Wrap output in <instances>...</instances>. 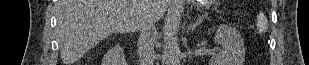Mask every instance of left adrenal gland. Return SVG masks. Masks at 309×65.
<instances>
[{
    "label": "left adrenal gland",
    "instance_id": "left-adrenal-gland-1",
    "mask_svg": "<svg viewBox=\"0 0 309 65\" xmlns=\"http://www.w3.org/2000/svg\"><path fill=\"white\" fill-rule=\"evenodd\" d=\"M202 20H203V17H199L194 23H190L189 24V27H188V29L190 30V31H194V29L198 26V25H200V23L202 22Z\"/></svg>",
    "mask_w": 309,
    "mask_h": 65
}]
</instances>
